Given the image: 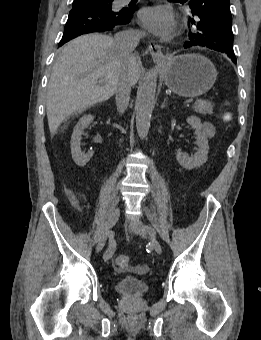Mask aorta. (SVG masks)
Instances as JSON below:
<instances>
[{
	"label": "aorta",
	"instance_id": "1",
	"mask_svg": "<svg viewBox=\"0 0 261 340\" xmlns=\"http://www.w3.org/2000/svg\"><path fill=\"white\" fill-rule=\"evenodd\" d=\"M158 70L153 68L143 82L136 99V128L140 138L148 135L155 103Z\"/></svg>",
	"mask_w": 261,
	"mask_h": 340
}]
</instances>
